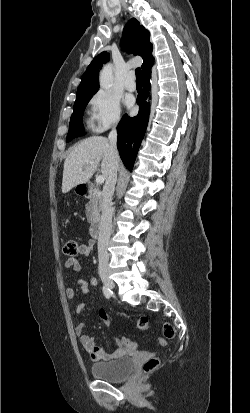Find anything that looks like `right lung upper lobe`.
Listing matches in <instances>:
<instances>
[{"instance_id": "cb5924a9", "label": "right lung upper lobe", "mask_w": 250, "mask_h": 413, "mask_svg": "<svg viewBox=\"0 0 250 413\" xmlns=\"http://www.w3.org/2000/svg\"><path fill=\"white\" fill-rule=\"evenodd\" d=\"M150 34L140 23L132 18L124 27L122 48L130 46L135 55L143 58L142 71L148 72L153 65L152 44L149 41ZM109 54L106 52L96 56L85 71L79 85L77 96L93 93L99 89V69L108 62Z\"/></svg>"}]
</instances>
